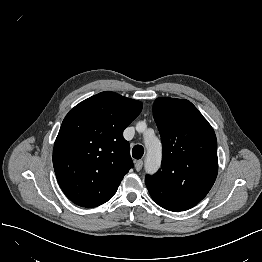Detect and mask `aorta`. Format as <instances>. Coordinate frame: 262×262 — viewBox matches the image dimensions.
<instances>
[{
	"label": "aorta",
	"mask_w": 262,
	"mask_h": 262,
	"mask_svg": "<svg viewBox=\"0 0 262 262\" xmlns=\"http://www.w3.org/2000/svg\"><path fill=\"white\" fill-rule=\"evenodd\" d=\"M145 145L147 148L145 169L147 172L154 173L159 169L161 164L162 145L160 140L155 136H146Z\"/></svg>",
	"instance_id": "aorta-1"
}]
</instances>
